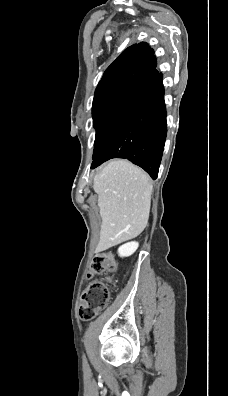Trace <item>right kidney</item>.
I'll list each match as a JSON object with an SVG mask.
<instances>
[{"label": "right kidney", "instance_id": "obj_1", "mask_svg": "<svg viewBox=\"0 0 228 396\" xmlns=\"http://www.w3.org/2000/svg\"><path fill=\"white\" fill-rule=\"evenodd\" d=\"M138 242H129L119 247L118 254L120 257L131 256L138 248Z\"/></svg>", "mask_w": 228, "mask_h": 396}]
</instances>
